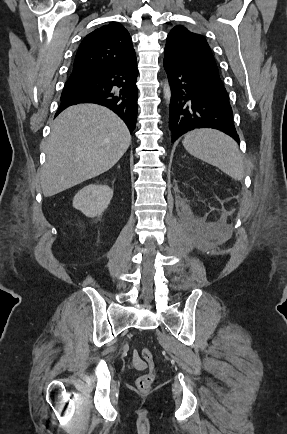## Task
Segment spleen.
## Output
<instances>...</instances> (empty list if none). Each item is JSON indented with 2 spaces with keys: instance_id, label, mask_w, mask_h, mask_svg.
Here are the masks:
<instances>
[{
  "instance_id": "spleen-1",
  "label": "spleen",
  "mask_w": 287,
  "mask_h": 434,
  "mask_svg": "<svg viewBox=\"0 0 287 434\" xmlns=\"http://www.w3.org/2000/svg\"><path fill=\"white\" fill-rule=\"evenodd\" d=\"M183 146L191 155L218 167L232 179H243V158L237 143L228 135L214 129H196L185 135Z\"/></svg>"
}]
</instances>
